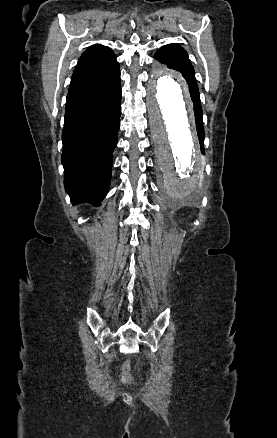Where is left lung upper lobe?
Here are the masks:
<instances>
[{
	"mask_svg": "<svg viewBox=\"0 0 277 438\" xmlns=\"http://www.w3.org/2000/svg\"><path fill=\"white\" fill-rule=\"evenodd\" d=\"M160 63L168 68L177 70L187 80L190 96L194 103V113L201 114L200 95L195 79V72L188 58L187 52L178 44H169L160 48L154 55Z\"/></svg>",
	"mask_w": 277,
	"mask_h": 438,
	"instance_id": "5c2ea615",
	"label": "left lung upper lobe"
}]
</instances>
